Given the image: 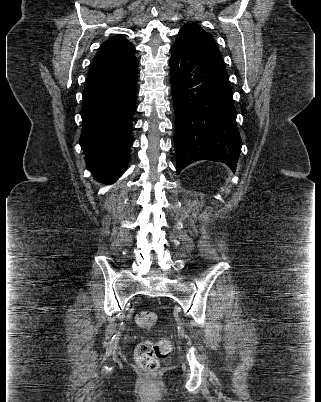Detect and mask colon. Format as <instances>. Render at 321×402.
Here are the masks:
<instances>
[{
    "mask_svg": "<svg viewBox=\"0 0 321 402\" xmlns=\"http://www.w3.org/2000/svg\"><path fill=\"white\" fill-rule=\"evenodd\" d=\"M136 323L141 328L151 329L157 323V315L152 311H141L136 316ZM171 348L168 339L142 341L135 348V361L143 371L154 373L159 368L160 362L169 356Z\"/></svg>",
    "mask_w": 321,
    "mask_h": 402,
    "instance_id": "5ec220e1",
    "label": "colon"
}]
</instances>
